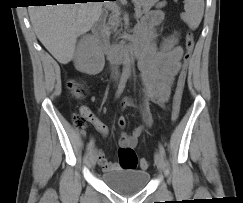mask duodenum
Returning <instances> with one entry per match:
<instances>
[{"label": "duodenum", "instance_id": "410a0bca", "mask_svg": "<svg viewBox=\"0 0 243 203\" xmlns=\"http://www.w3.org/2000/svg\"><path fill=\"white\" fill-rule=\"evenodd\" d=\"M104 22L105 15L102 14L92 25V34L99 48L105 53L110 61H130L142 57L145 46L141 40L137 39V37L129 45L116 47L108 44L104 35Z\"/></svg>", "mask_w": 243, "mask_h": 203}]
</instances>
